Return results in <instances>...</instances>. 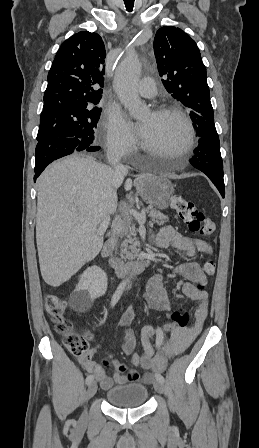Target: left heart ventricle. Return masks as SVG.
<instances>
[{
	"label": "left heart ventricle",
	"instance_id": "left-heart-ventricle-1",
	"mask_svg": "<svg viewBox=\"0 0 259 448\" xmlns=\"http://www.w3.org/2000/svg\"><path fill=\"white\" fill-rule=\"evenodd\" d=\"M139 134L141 140L154 150L153 153L176 157L174 149L185 139L186 128L172 113L157 116L149 112L140 119Z\"/></svg>",
	"mask_w": 259,
	"mask_h": 448
}]
</instances>
